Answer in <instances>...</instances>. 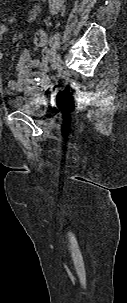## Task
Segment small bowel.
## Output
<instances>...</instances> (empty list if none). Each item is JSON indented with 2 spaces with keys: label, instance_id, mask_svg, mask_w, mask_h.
I'll use <instances>...</instances> for the list:
<instances>
[{
  "label": "small bowel",
  "instance_id": "1",
  "mask_svg": "<svg viewBox=\"0 0 127 303\" xmlns=\"http://www.w3.org/2000/svg\"><path fill=\"white\" fill-rule=\"evenodd\" d=\"M39 11L34 7L30 12V20L35 19ZM10 30L9 26L0 23V44L2 37ZM34 42L42 47V58H33L28 50H23L17 63V78L8 82V87L13 92L32 93L34 84L46 85L48 83L47 73L49 71V62L51 60V49L47 45V36L43 30L36 32ZM3 60V52L0 48V62Z\"/></svg>",
  "mask_w": 127,
  "mask_h": 303
}]
</instances>
